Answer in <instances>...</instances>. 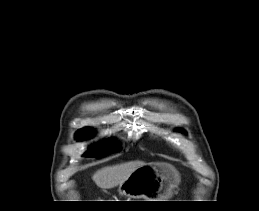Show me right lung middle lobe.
Here are the masks:
<instances>
[{
    "label": "right lung middle lobe",
    "instance_id": "obj_1",
    "mask_svg": "<svg viewBox=\"0 0 259 211\" xmlns=\"http://www.w3.org/2000/svg\"><path fill=\"white\" fill-rule=\"evenodd\" d=\"M81 132H82V135L78 136V139H81V140L84 138L90 137L92 135L91 130L87 129V128L82 129ZM120 150H121V148L115 142L107 141V142H103V143H100V144L92 147L85 154V156H92L95 158H99V157H103V156L109 155L114 152H118Z\"/></svg>",
    "mask_w": 259,
    "mask_h": 211
}]
</instances>
